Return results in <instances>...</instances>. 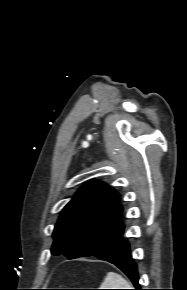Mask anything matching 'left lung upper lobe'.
Listing matches in <instances>:
<instances>
[{
  "mask_svg": "<svg viewBox=\"0 0 187 290\" xmlns=\"http://www.w3.org/2000/svg\"><path fill=\"white\" fill-rule=\"evenodd\" d=\"M119 194L98 181L84 185L63 209L54 228L53 255L92 256L121 225Z\"/></svg>",
  "mask_w": 187,
  "mask_h": 290,
  "instance_id": "obj_1",
  "label": "left lung upper lobe"
}]
</instances>
